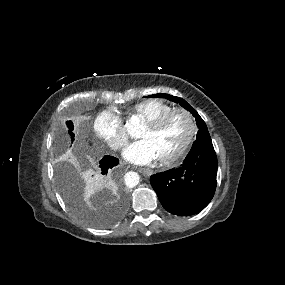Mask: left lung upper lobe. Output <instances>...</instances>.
Returning a JSON list of instances; mask_svg holds the SVG:
<instances>
[{
    "label": "left lung upper lobe",
    "instance_id": "1",
    "mask_svg": "<svg viewBox=\"0 0 285 285\" xmlns=\"http://www.w3.org/2000/svg\"><path fill=\"white\" fill-rule=\"evenodd\" d=\"M148 97H160V98H166L170 101L179 103L182 107H184L186 110L190 111L193 116L196 119L197 125L199 127V131L197 133V138L195 143H197L198 141H201L205 138H210L207 126L205 124V122L203 121V119L199 116V114L197 113V111L192 108L184 99L180 98V97H176V96H172L169 94H164V93H159V94H154V95H150Z\"/></svg>",
    "mask_w": 285,
    "mask_h": 285
}]
</instances>
